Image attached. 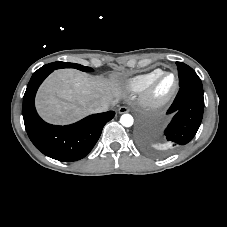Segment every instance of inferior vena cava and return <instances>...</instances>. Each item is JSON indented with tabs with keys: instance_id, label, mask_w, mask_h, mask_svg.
I'll return each mask as SVG.
<instances>
[{
	"instance_id": "inferior-vena-cava-1",
	"label": "inferior vena cava",
	"mask_w": 227,
	"mask_h": 227,
	"mask_svg": "<svg viewBox=\"0 0 227 227\" xmlns=\"http://www.w3.org/2000/svg\"><path fill=\"white\" fill-rule=\"evenodd\" d=\"M110 103L105 100H101L99 102H96L92 105L93 112L100 113L105 112L109 109Z\"/></svg>"
}]
</instances>
